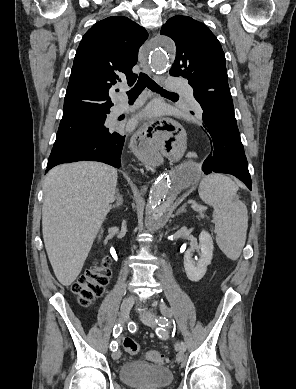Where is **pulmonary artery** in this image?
<instances>
[{"label": "pulmonary artery", "mask_w": 296, "mask_h": 389, "mask_svg": "<svg viewBox=\"0 0 296 389\" xmlns=\"http://www.w3.org/2000/svg\"><path fill=\"white\" fill-rule=\"evenodd\" d=\"M167 88L173 91H180L184 94L187 104L193 108L200 109L199 103L196 101L192 88L181 80L169 78L166 81ZM127 101L122 97L113 108V114L119 115L127 108Z\"/></svg>", "instance_id": "pulmonary-artery-1"}]
</instances>
